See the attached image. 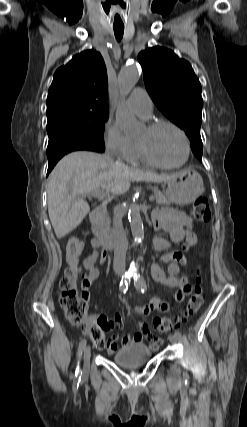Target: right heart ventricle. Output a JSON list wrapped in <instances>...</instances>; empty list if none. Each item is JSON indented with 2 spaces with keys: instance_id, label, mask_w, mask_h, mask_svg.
<instances>
[{
  "instance_id": "obj_1",
  "label": "right heart ventricle",
  "mask_w": 247,
  "mask_h": 427,
  "mask_svg": "<svg viewBox=\"0 0 247 427\" xmlns=\"http://www.w3.org/2000/svg\"><path fill=\"white\" fill-rule=\"evenodd\" d=\"M130 160H131V161H134V162L147 163V162L143 159V157H142V155H141V153H140V150H139L138 144H137L136 142H133V151H132V155H131Z\"/></svg>"
}]
</instances>
